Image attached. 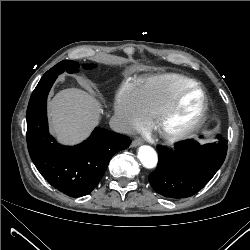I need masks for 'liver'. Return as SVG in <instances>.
<instances>
[{
    "label": "liver",
    "instance_id": "obj_1",
    "mask_svg": "<svg viewBox=\"0 0 250 250\" xmlns=\"http://www.w3.org/2000/svg\"><path fill=\"white\" fill-rule=\"evenodd\" d=\"M101 112L93 95L77 88L64 89L49 102L51 130L63 143L76 144L98 124Z\"/></svg>",
    "mask_w": 250,
    "mask_h": 250
}]
</instances>
